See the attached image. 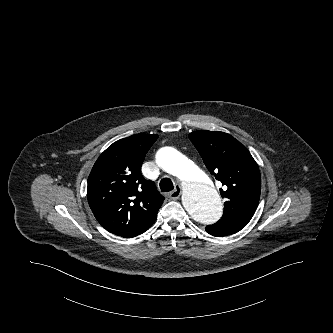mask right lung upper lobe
<instances>
[{
	"label": "right lung upper lobe",
	"mask_w": 333,
	"mask_h": 333,
	"mask_svg": "<svg viewBox=\"0 0 333 333\" xmlns=\"http://www.w3.org/2000/svg\"><path fill=\"white\" fill-rule=\"evenodd\" d=\"M158 135L136 134L110 145L88 178L87 199L97 221L125 238L144 233L156 220L164 197L144 179L141 165Z\"/></svg>",
	"instance_id": "1"
}]
</instances>
